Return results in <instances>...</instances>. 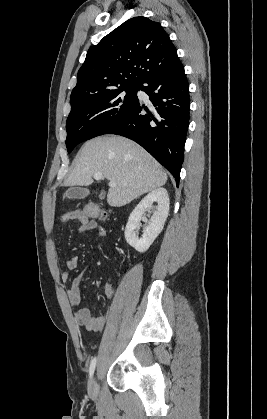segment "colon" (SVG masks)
Returning a JSON list of instances; mask_svg holds the SVG:
<instances>
[{
  "instance_id": "1",
  "label": "colon",
  "mask_w": 267,
  "mask_h": 419,
  "mask_svg": "<svg viewBox=\"0 0 267 419\" xmlns=\"http://www.w3.org/2000/svg\"><path fill=\"white\" fill-rule=\"evenodd\" d=\"M82 215L91 220H104L107 218V212L97 204L89 203L80 211Z\"/></svg>"
}]
</instances>
